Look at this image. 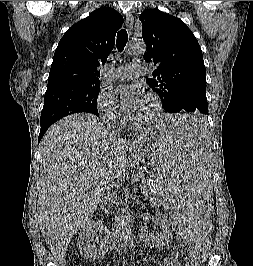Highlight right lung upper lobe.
Instances as JSON below:
<instances>
[{
    "instance_id": "cb5924a9",
    "label": "right lung upper lobe",
    "mask_w": 253,
    "mask_h": 266,
    "mask_svg": "<svg viewBox=\"0 0 253 266\" xmlns=\"http://www.w3.org/2000/svg\"><path fill=\"white\" fill-rule=\"evenodd\" d=\"M123 17L109 7L93 11L61 38L51 65L47 91L66 86L100 84V71L115 44Z\"/></svg>"
}]
</instances>
